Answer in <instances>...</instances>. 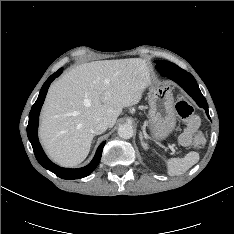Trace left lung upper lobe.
<instances>
[{"instance_id": "obj_1", "label": "left lung upper lobe", "mask_w": 234, "mask_h": 234, "mask_svg": "<svg viewBox=\"0 0 234 234\" xmlns=\"http://www.w3.org/2000/svg\"><path fill=\"white\" fill-rule=\"evenodd\" d=\"M155 63H157L156 68L162 76H164L165 72H173L174 73V72H177L181 69L180 67H178L177 65H175L174 63L169 62V61L157 60V61H155Z\"/></svg>"}]
</instances>
